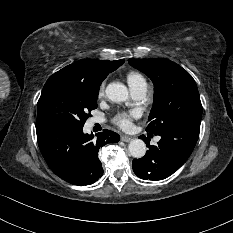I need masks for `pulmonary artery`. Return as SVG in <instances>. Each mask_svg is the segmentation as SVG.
<instances>
[{
  "label": "pulmonary artery",
  "mask_w": 233,
  "mask_h": 233,
  "mask_svg": "<svg viewBox=\"0 0 233 233\" xmlns=\"http://www.w3.org/2000/svg\"><path fill=\"white\" fill-rule=\"evenodd\" d=\"M131 91H132V95L135 99L141 100L145 97L146 92H147V88L141 87V88L133 89ZM96 122H100V121L96 120ZM158 140H159V137L156 138V141H158Z\"/></svg>",
  "instance_id": "pulmonary-artery-1"
}]
</instances>
